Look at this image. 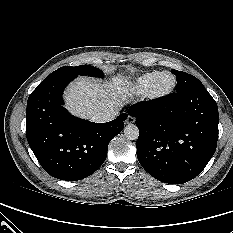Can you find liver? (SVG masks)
<instances>
[{
    "mask_svg": "<svg viewBox=\"0 0 233 233\" xmlns=\"http://www.w3.org/2000/svg\"><path fill=\"white\" fill-rule=\"evenodd\" d=\"M131 90V82L125 76L103 83L80 77L70 84L64 98L72 114L91 119L97 113L117 112L131 96Z\"/></svg>",
    "mask_w": 233,
    "mask_h": 233,
    "instance_id": "obj_1",
    "label": "liver"
}]
</instances>
